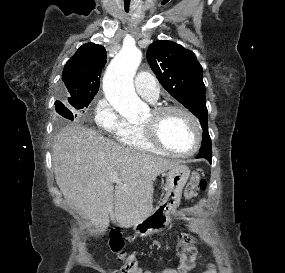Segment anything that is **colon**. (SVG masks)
I'll use <instances>...</instances> for the list:
<instances>
[{"label": "colon", "instance_id": "5ec220e1", "mask_svg": "<svg viewBox=\"0 0 285 273\" xmlns=\"http://www.w3.org/2000/svg\"><path fill=\"white\" fill-rule=\"evenodd\" d=\"M207 188V181L198 173L192 174L189 182L184 190V197L187 200L193 199L200 191H205ZM108 246L111 252L116 254L121 262L120 272L114 271L112 273H145L133 255L127 254L124 247V240L118 235H113L108 241ZM177 255L179 258V267L177 273H188L194 267L197 258V248L195 246L194 238L184 233L181 235L177 245Z\"/></svg>", "mask_w": 285, "mask_h": 273}]
</instances>
